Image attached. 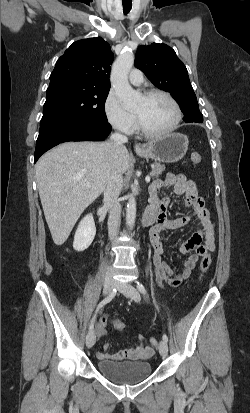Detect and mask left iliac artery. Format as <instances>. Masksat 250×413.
<instances>
[{
	"label": "left iliac artery",
	"instance_id": "44dca946",
	"mask_svg": "<svg viewBox=\"0 0 250 413\" xmlns=\"http://www.w3.org/2000/svg\"><path fill=\"white\" fill-rule=\"evenodd\" d=\"M137 289H138L142 294H146V289H145V287H144L141 283H139V282H137ZM163 340L166 341V342L168 341V337H167L166 334L163 335Z\"/></svg>",
	"mask_w": 250,
	"mask_h": 413
}]
</instances>
